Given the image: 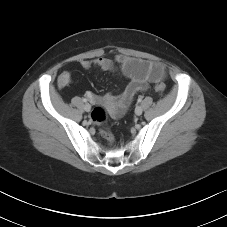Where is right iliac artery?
Wrapping results in <instances>:
<instances>
[{
    "mask_svg": "<svg viewBox=\"0 0 227 227\" xmlns=\"http://www.w3.org/2000/svg\"><path fill=\"white\" fill-rule=\"evenodd\" d=\"M83 102H84V103H87V99H86V98H83Z\"/></svg>",
    "mask_w": 227,
    "mask_h": 227,
    "instance_id": "1",
    "label": "right iliac artery"
}]
</instances>
